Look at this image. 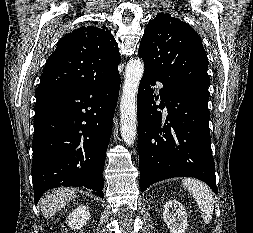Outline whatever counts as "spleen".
Wrapping results in <instances>:
<instances>
[{
  "mask_svg": "<svg viewBox=\"0 0 253 233\" xmlns=\"http://www.w3.org/2000/svg\"><path fill=\"white\" fill-rule=\"evenodd\" d=\"M182 184L186 190L194 197L201 215L206 224L212 220L214 210V199L210 190L199 180L184 178Z\"/></svg>",
  "mask_w": 253,
  "mask_h": 233,
  "instance_id": "spleen-1",
  "label": "spleen"
}]
</instances>
